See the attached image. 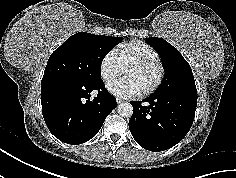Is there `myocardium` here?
<instances>
[{"label": "myocardium", "instance_id": "obj_1", "mask_svg": "<svg viewBox=\"0 0 236 178\" xmlns=\"http://www.w3.org/2000/svg\"><path fill=\"white\" fill-rule=\"evenodd\" d=\"M152 66H156L158 68V75L155 82L150 87H148L147 89L141 92V95L143 96H148L152 94L161 86L165 77V73H166L163 62L160 59L132 61L123 69L125 73L127 70L132 69V68H148Z\"/></svg>", "mask_w": 236, "mask_h": 178}]
</instances>
